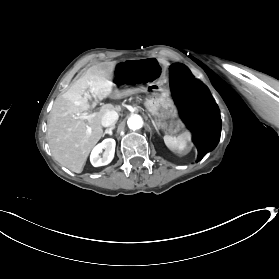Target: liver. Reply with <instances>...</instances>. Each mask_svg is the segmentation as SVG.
Segmentation results:
<instances>
[{
	"label": "liver",
	"instance_id": "1",
	"mask_svg": "<svg viewBox=\"0 0 279 279\" xmlns=\"http://www.w3.org/2000/svg\"><path fill=\"white\" fill-rule=\"evenodd\" d=\"M114 66L110 69L89 68L68 91L57 96L48 115L47 140L55 160L72 172L81 173L91 149L103 136L102 117L112 104L101 106L90 120L79 119L87 114L90 105L83 97L89 89L94 98L102 100L112 92L110 81Z\"/></svg>",
	"mask_w": 279,
	"mask_h": 279
}]
</instances>
